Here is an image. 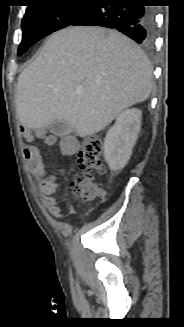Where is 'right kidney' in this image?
Listing matches in <instances>:
<instances>
[{
	"mask_svg": "<svg viewBox=\"0 0 184 327\" xmlns=\"http://www.w3.org/2000/svg\"><path fill=\"white\" fill-rule=\"evenodd\" d=\"M142 112L127 109L119 114L104 139V157L111 170L123 168L129 161L141 127Z\"/></svg>",
	"mask_w": 184,
	"mask_h": 327,
	"instance_id": "1",
	"label": "right kidney"
}]
</instances>
